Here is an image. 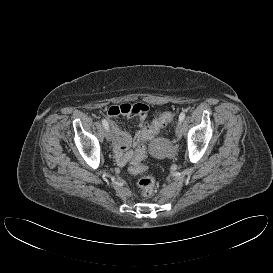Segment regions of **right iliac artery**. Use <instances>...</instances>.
<instances>
[{
    "label": "right iliac artery",
    "instance_id": "1",
    "mask_svg": "<svg viewBox=\"0 0 273 273\" xmlns=\"http://www.w3.org/2000/svg\"><path fill=\"white\" fill-rule=\"evenodd\" d=\"M102 124H103V126H104L105 129H108V128H109V125H108L107 120L102 119Z\"/></svg>",
    "mask_w": 273,
    "mask_h": 273
}]
</instances>
